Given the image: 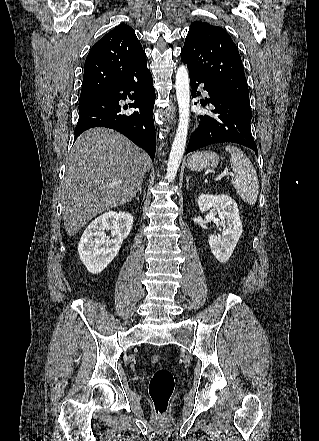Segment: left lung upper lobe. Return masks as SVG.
Listing matches in <instances>:
<instances>
[{
  "label": "left lung upper lobe",
  "mask_w": 319,
  "mask_h": 441,
  "mask_svg": "<svg viewBox=\"0 0 319 441\" xmlns=\"http://www.w3.org/2000/svg\"><path fill=\"white\" fill-rule=\"evenodd\" d=\"M188 70L220 86L250 108L249 90L237 46L221 27L194 22L181 51Z\"/></svg>",
  "instance_id": "1"
}]
</instances>
